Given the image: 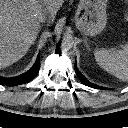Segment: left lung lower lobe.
Listing matches in <instances>:
<instances>
[{"label":"left lung lower lobe","mask_w":128,"mask_h":128,"mask_svg":"<svg viewBox=\"0 0 128 128\" xmlns=\"http://www.w3.org/2000/svg\"><path fill=\"white\" fill-rule=\"evenodd\" d=\"M75 72L77 74V76L79 77V79L82 81L83 84L92 87V88H96V86H94L92 83H90L77 69V66L75 64Z\"/></svg>","instance_id":"left-lung-lower-lobe-1"}]
</instances>
